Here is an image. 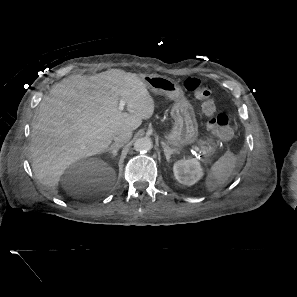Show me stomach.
Listing matches in <instances>:
<instances>
[{"mask_svg":"<svg viewBox=\"0 0 297 297\" xmlns=\"http://www.w3.org/2000/svg\"><path fill=\"white\" fill-rule=\"evenodd\" d=\"M143 81L152 92L163 94L175 102L171 109L174 123L165 136L167 143L177 149L195 143L199 135L196 115L179 84L160 75H146Z\"/></svg>","mask_w":297,"mask_h":297,"instance_id":"0dacf381","label":"stomach"}]
</instances>
